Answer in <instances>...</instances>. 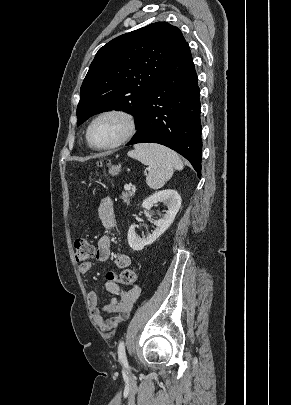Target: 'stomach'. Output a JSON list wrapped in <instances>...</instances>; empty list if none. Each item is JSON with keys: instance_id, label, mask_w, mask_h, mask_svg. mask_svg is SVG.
Segmentation results:
<instances>
[{"instance_id": "0dacf381", "label": "stomach", "mask_w": 291, "mask_h": 405, "mask_svg": "<svg viewBox=\"0 0 291 405\" xmlns=\"http://www.w3.org/2000/svg\"><path fill=\"white\" fill-rule=\"evenodd\" d=\"M120 169H121V166H113V167H111L110 169H109V173L111 174V175H117L118 174V172L120 171Z\"/></svg>"}]
</instances>
